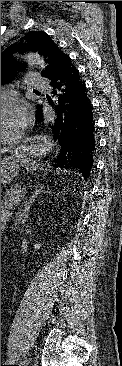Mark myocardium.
<instances>
[{"mask_svg":"<svg viewBox=\"0 0 122 366\" xmlns=\"http://www.w3.org/2000/svg\"><path fill=\"white\" fill-rule=\"evenodd\" d=\"M6 109L12 111L14 109V102L5 97H1V111ZM20 125L7 137H1V145H11L13 143L15 136L21 132Z\"/></svg>","mask_w":122,"mask_h":366,"instance_id":"myocardium-1","label":"myocardium"}]
</instances>
